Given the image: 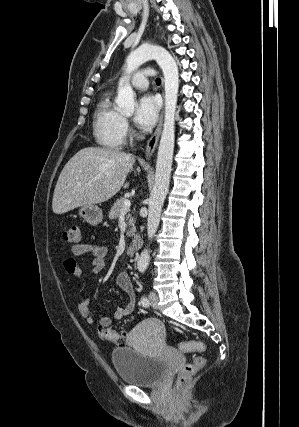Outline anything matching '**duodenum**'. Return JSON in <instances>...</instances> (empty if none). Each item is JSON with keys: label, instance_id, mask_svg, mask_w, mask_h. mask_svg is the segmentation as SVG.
I'll return each instance as SVG.
<instances>
[{"label": "duodenum", "instance_id": "1", "mask_svg": "<svg viewBox=\"0 0 299 427\" xmlns=\"http://www.w3.org/2000/svg\"><path fill=\"white\" fill-rule=\"evenodd\" d=\"M140 244H141L140 237L139 236H135L132 239V241H131V243H130L127 251H126L127 254L128 255H134L135 253H137V251L139 250Z\"/></svg>", "mask_w": 299, "mask_h": 427}]
</instances>
